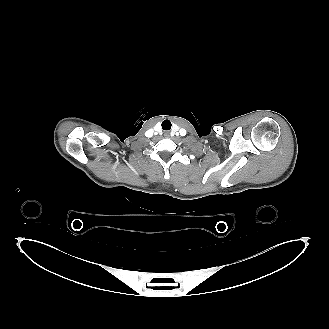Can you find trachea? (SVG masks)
I'll return each instance as SVG.
<instances>
[{
    "mask_svg": "<svg viewBox=\"0 0 329 329\" xmlns=\"http://www.w3.org/2000/svg\"><path fill=\"white\" fill-rule=\"evenodd\" d=\"M171 126H172V124H171V122L169 120H164L162 122V128H163V130H170L171 129Z\"/></svg>",
    "mask_w": 329,
    "mask_h": 329,
    "instance_id": "1",
    "label": "trachea"
}]
</instances>
